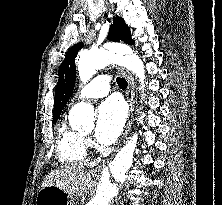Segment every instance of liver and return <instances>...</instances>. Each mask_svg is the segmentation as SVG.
Returning a JSON list of instances; mask_svg holds the SVG:
<instances>
[{
    "label": "liver",
    "instance_id": "obj_1",
    "mask_svg": "<svg viewBox=\"0 0 222 205\" xmlns=\"http://www.w3.org/2000/svg\"><path fill=\"white\" fill-rule=\"evenodd\" d=\"M55 185L71 197L87 193L93 185L92 172L76 167H67L50 172L41 187Z\"/></svg>",
    "mask_w": 222,
    "mask_h": 205
}]
</instances>
